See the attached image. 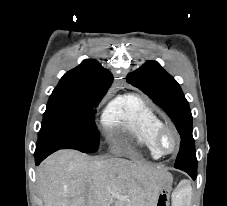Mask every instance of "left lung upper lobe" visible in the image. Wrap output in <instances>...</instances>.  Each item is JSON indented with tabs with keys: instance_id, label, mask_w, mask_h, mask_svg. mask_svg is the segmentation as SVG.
Masks as SVG:
<instances>
[{
	"instance_id": "1",
	"label": "left lung upper lobe",
	"mask_w": 227,
	"mask_h": 206,
	"mask_svg": "<svg viewBox=\"0 0 227 206\" xmlns=\"http://www.w3.org/2000/svg\"><path fill=\"white\" fill-rule=\"evenodd\" d=\"M126 79L160 106L175 124L181 136L175 168L197 167L192 114L180 85L155 61L146 62L136 71L129 73Z\"/></svg>"
}]
</instances>
